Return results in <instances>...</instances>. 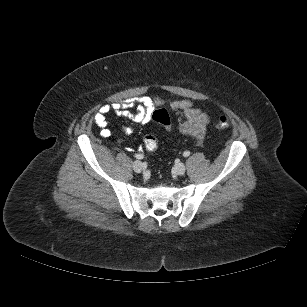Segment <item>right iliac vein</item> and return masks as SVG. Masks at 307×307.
<instances>
[{
    "label": "right iliac vein",
    "mask_w": 307,
    "mask_h": 307,
    "mask_svg": "<svg viewBox=\"0 0 307 307\" xmlns=\"http://www.w3.org/2000/svg\"><path fill=\"white\" fill-rule=\"evenodd\" d=\"M133 170L137 173H140L143 170V163L141 161H135L132 165Z\"/></svg>",
    "instance_id": "1"
}]
</instances>
